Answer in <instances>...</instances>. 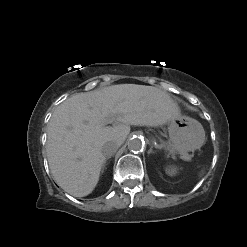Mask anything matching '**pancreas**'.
I'll return each instance as SVG.
<instances>
[{
    "mask_svg": "<svg viewBox=\"0 0 247 247\" xmlns=\"http://www.w3.org/2000/svg\"><path fill=\"white\" fill-rule=\"evenodd\" d=\"M184 156H185V158H188L189 157L186 153L184 154Z\"/></svg>",
    "mask_w": 247,
    "mask_h": 247,
    "instance_id": "pancreas-1",
    "label": "pancreas"
}]
</instances>
